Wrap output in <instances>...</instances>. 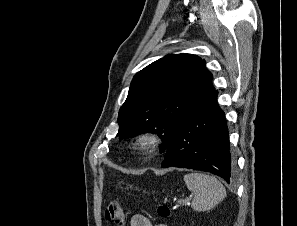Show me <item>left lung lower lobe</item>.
<instances>
[{
  "mask_svg": "<svg viewBox=\"0 0 297 226\" xmlns=\"http://www.w3.org/2000/svg\"><path fill=\"white\" fill-rule=\"evenodd\" d=\"M214 89L205 95L181 123L165 152L162 167L196 169L233 180L234 161L224 112Z\"/></svg>",
  "mask_w": 297,
  "mask_h": 226,
  "instance_id": "1",
  "label": "left lung lower lobe"
}]
</instances>
